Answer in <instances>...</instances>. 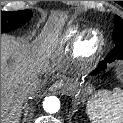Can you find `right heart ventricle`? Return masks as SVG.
<instances>
[{
  "label": "right heart ventricle",
  "instance_id": "right-heart-ventricle-1",
  "mask_svg": "<svg viewBox=\"0 0 123 123\" xmlns=\"http://www.w3.org/2000/svg\"><path fill=\"white\" fill-rule=\"evenodd\" d=\"M72 49L75 55L81 54L80 38L75 39Z\"/></svg>",
  "mask_w": 123,
  "mask_h": 123
}]
</instances>
